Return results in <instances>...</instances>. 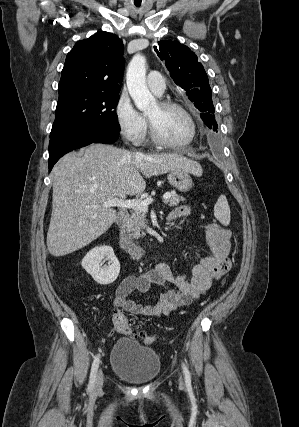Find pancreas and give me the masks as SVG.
I'll return each mask as SVG.
<instances>
[{
  "mask_svg": "<svg viewBox=\"0 0 299 427\" xmlns=\"http://www.w3.org/2000/svg\"><path fill=\"white\" fill-rule=\"evenodd\" d=\"M171 197L165 200V204L169 206H177L181 201L185 199L181 196H178L176 193L171 192ZM146 221V212L135 210L130 219L126 224L125 233L129 239H138L144 237L146 234L143 231Z\"/></svg>",
  "mask_w": 299,
  "mask_h": 427,
  "instance_id": "cf45deb5",
  "label": "pancreas"
}]
</instances>
